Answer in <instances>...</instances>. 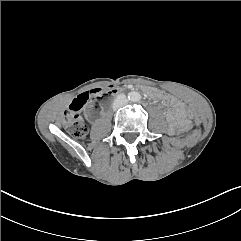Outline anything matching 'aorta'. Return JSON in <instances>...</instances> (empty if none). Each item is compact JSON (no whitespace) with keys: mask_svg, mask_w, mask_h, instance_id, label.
I'll return each mask as SVG.
<instances>
[{"mask_svg":"<svg viewBox=\"0 0 241 241\" xmlns=\"http://www.w3.org/2000/svg\"><path fill=\"white\" fill-rule=\"evenodd\" d=\"M129 99L133 102H137L141 99V95L138 92H131L129 95Z\"/></svg>","mask_w":241,"mask_h":241,"instance_id":"obj_1","label":"aorta"}]
</instances>
